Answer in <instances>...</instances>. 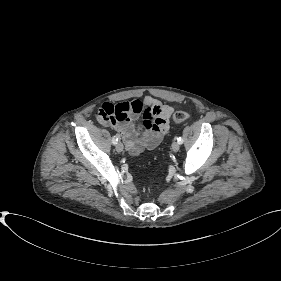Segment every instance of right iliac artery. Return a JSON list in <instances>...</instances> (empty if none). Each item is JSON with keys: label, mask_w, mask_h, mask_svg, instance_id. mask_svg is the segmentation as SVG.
I'll list each match as a JSON object with an SVG mask.
<instances>
[{"label": "right iliac artery", "mask_w": 281, "mask_h": 281, "mask_svg": "<svg viewBox=\"0 0 281 281\" xmlns=\"http://www.w3.org/2000/svg\"><path fill=\"white\" fill-rule=\"evenodd\" d=\"M118 142V137L117 136H113L112 138V143L115 145Z\"/></svg>", "instance_id": "82829eb1"}]
</instances>
